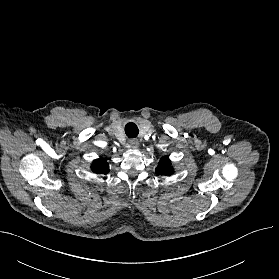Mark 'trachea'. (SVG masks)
<instances>
[{"mask_svg": "<svg viewBox=\"0 0 279 279\" xmlns=\"http://www.w3.org/2000/svg\"><path fill=\"white\" fill-rule=\"evenodd\" d=\"M125 132L128 137H136L138 135V127L134 123H128L125 127Z\"/></svg>", "mask_w": 279, "mask_h": 279, "instance_id": "3493384b", "label": "trachea"}]
</instances>
